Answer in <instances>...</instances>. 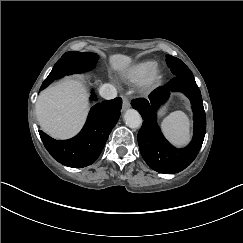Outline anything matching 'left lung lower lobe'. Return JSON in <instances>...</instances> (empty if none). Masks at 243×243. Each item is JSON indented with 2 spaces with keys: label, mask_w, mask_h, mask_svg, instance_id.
<instances>
[{
  "label": "left lung lower lobe",
  "mask_w": 243,
  "mask_h": 243,
  "mask_svg": "<svg viewBox=\"0 0 243 243\" xmlns=\"http://www.w3.org/2000/svg\"><path fill=\"white\" fill-rule=\"evenodd\" d=\"M171 91L183 92L191 101L194 113V135L190 144L183 148L173 147L162 135L156 123V110ZM131 105L142 116L144 122L138 133L141 155L153 170L172 174L188 167L199 153L205 132L206 116L202 97L194 77L175 76L165 86L159 87L147 99H135Z\"/></svg>",
  "instance_id": "0a47b994"
}]
</instances>
